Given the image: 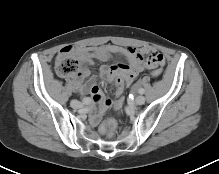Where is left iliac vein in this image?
Listing matches in <instances>:
<instances>
[{
  "instance_id": "left-iliac-vein-1",
  "label": "left iliac vein",
  "mask_w": 219,
  "mask_h": 174,
  "mask_svg": "<svg viewBox=\"0 0 219 174\" xmlns=\"http://www.w3.org/2000/svg\"><path fill=\"white\" fill-rule=\"evenodd\" d=\"M145 97L142 96V95H138L136 98H135V104L137 105H143L145 103Z\"/></svg>"
}]
</instances>
